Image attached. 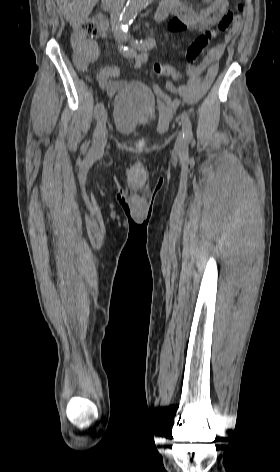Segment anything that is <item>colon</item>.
I'll return each instance as SVG.
<instances>
[{"mask_svg":"<svg viewBox=\"0 0 280 472\" xmlns=\"http://www.w3.org/2000/svg\"><path fill=\"white\" fill-rule=\"evenodd\" d=\"M241 10L242 5L237 3L234 10H228L225 12L219 20L215 30L206 31L191 43L186 53L187 60L190 64H192L196 58L207 49L210 41L218 32H224L230 27L239 26L241 22ZM78 32L87 37H94L100 33V24L96 19L88 20L80 26ZM74 63L80 69L86 67L85 61L78 56H74ZM154 71L159 75L167 76L169 78H173V75L177 73V70L169 64H155Z\"/></svg>","mask_w":280,"mask_h":472,"instance_id":"obj_1","label":"colon"}]
</instances>
